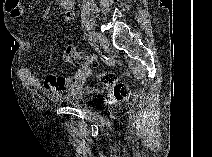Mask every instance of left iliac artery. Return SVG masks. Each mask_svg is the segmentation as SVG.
<instances>
[{"instance_id": "obj_1", "label": "left iliac artery", "mask_w": 212, "mask_h": 157, "mask_svg": "<svg viewBox=\"0 0 212 157\" xmlns=\"http://www.w3.org/2000/svg\"><path fill=\"white\" fill-rule=\"evenodd\" d=\"M88 39H89L90 41H96V37H95V35H94V32H90V33H89Z\"/></svg>"}]
</instances>
